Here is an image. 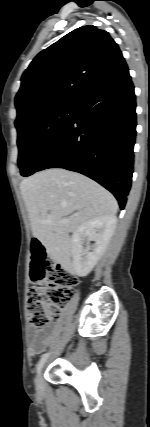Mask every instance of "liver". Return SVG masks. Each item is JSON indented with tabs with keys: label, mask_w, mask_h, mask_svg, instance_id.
Masks as SVG:
<instances>
[{
	"label": "liver",
	"mask_w": 150,
	"mask_h": 427,
	"mask_svg": "<svg viewBox=\"0 0 150 427\" xmlns=\"http://www.w3.org/2000/svg\"><path fill=\"white\" fill-rule=\"evenodd\" d=\"M20 188L33 236L66 268L71 266L69 233L89 220L115 216L118 210L116 199L105 188L62 168L37 172L24 179ZM47 219L51 225L44 223Z\"/></svg>",
	"instance_id": "liver-1"
}]
</instances>
